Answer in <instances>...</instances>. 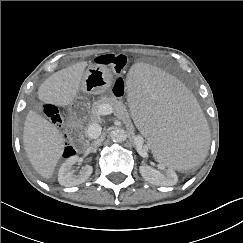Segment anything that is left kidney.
Here are the masks:
<instances>
[{
	"label": "left kidney",
	"mask_w": 243,
	"mask_h": 243,
	"mask_svg": "<svg viewBox=\"0 0 243 243\" xmlns=\"http://www.w3.org/2000/svg\"><path fill=\"white\" fill-rule=\"evenodd\" d=\"M158 168L160 170L151 166L141 165L139 170L140 174L146 181L158 186H173L178 182L176 172L168 168L165 169L161 163L158 165Z\"/></svg>",
	"instance_id": "5707ae66"
}]
</instances>
